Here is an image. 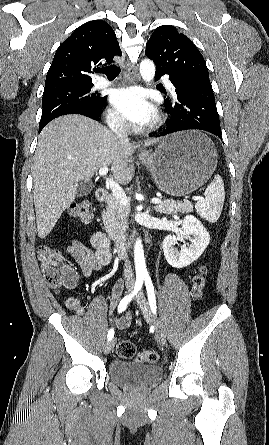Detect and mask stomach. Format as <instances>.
<instances>
[{"label": "stomach", "instance_id": "1", "mask_svg": "<svg viewBox=\"0 0 269 445\" xmlns=\"http://www.w3.org/2000/svg\"><path fill=\"white\" fill-rule=\"evenodd\" d=\"M217 151L211 140L198 131L167 136L155 152L142 156L156 185L171 196L190 194L202 186L217 165Z\"/></svg>", "mask_w": 269, "mask_h": 445}]
</instances>
